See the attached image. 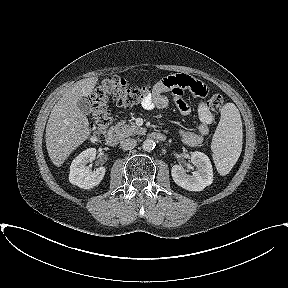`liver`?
<instances>
[{
    "mask_svg": "<svg viewBox=\"0 0 288 288\" xmlns=\"http://www.w3.org/2000/svg\"><path fill=\"white\" fill-rule=\"evenodd\" d=\"M97 81V77H90L76 82L64 92L50 113L45 141L48 155L57 167L91 135L89 121L77 103L91 95Z\"/></svg>",
    "mask_w": 288,
    "mask_h": 288,
    "instance_id": "liver-1",
    "label": "liver"
}]
</instances>
